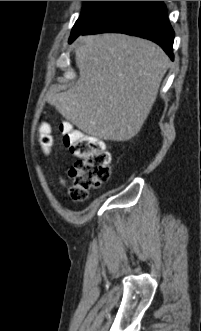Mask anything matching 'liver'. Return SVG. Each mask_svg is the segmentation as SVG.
I'll return each instance as SVG.
<instances>
[{
    "label": "liver",
    "instance_id": "liver-1",
    "mask_svg": "<svg viewBox=\"0 0 201 331\" xmlns=\"http://www.w3.org/2000/svg\"><path fill=\"white\" fill-rule=\"evenodd\" d=\"M79 78L48 101L88 135L127 141L142 128L170 60L155 43L125 34L79 37Z\"/></svg>",
    "mask_w": 201,
    "mask_h": 331
}]
</instances>
